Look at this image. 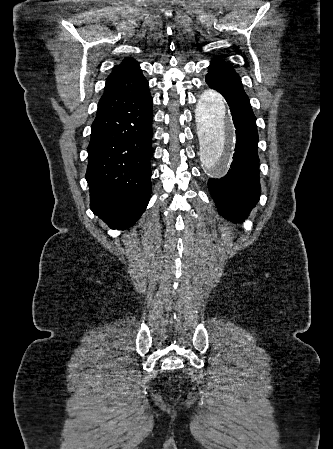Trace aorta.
<instances>
[{"instance_id":"1","label":"aorta","mask_w":333,"mask_h":449,"mask_svg":"<svg viewBox=\"0 0 333 449\" xmlns=\"http://www.w3.org/2000/svg\"><path fill=\"white\" fill-rule=\"evenodd\" d=\"M196 116L202 141L200 160L217 174L226 167L235 144L226 99L219 92L207 88L200 96Z\"/></svg>"}]
</instances>
